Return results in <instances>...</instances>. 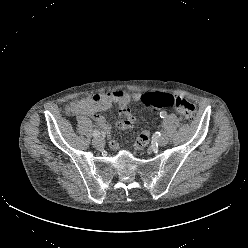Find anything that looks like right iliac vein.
I'll return each mask as SVG.
<instances>
[{"mask_svg":"<svg viewBox=\"0 0 248 248\" xmlns=\"http://www.w3.org/2000/svg\"><path fill=\"white\" fill-rule=\"evenodd\" d=\"M93 145L97 148H102L104 146V140L101 137H96L93 139Z\"/></svg>","mask_w":248,"mask_h":248,"instance_id":"63e3f726","label":"right iliac vein"}]
</instances>
